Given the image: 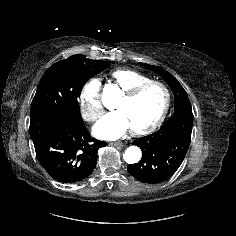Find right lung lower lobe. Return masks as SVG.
<instances>
[{"instance_id":"right-lung-lower-lobe-1","label":"right lung lower lobe","mask_w":236,"mask_h":236,"mask_svg":"<svg viewBox=\"0 0 236 236\" xmlns=\"http://www.w3.org/2000/svg\"><path fill=\"white\" fill-rule=\"evenodd\" d=\"M30 135L40 164L62 183L88 177L96 165L98 149L106 146V142L90 137L83 121L71 118H30Z\"/></svg>"}]
</instances>
